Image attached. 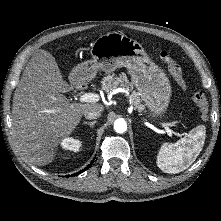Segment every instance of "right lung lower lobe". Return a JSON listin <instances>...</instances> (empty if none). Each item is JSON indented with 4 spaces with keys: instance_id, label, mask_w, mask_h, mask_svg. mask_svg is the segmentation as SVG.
I'll use <instances>...</instances> for the list:
<instances>
[{
    "instance_id": "right-lung-lower-lobe-1",
    "label": "right lung lower lobe",
    "mask_w": 221,
    "mask_h": 221,
    "mask_svg": "<svg viewBox=\"0 0 221 221\" xmlns=\"http://www.w3.org/2000/svg\"><path fill=\"white\" fill-rule=\"evenodd\" d=\"M93 162H94V161H92L85 169H83V170H81V171H79L78 173H75V174H73V175H69V176H77L78 174L84 172V171L87 170L89 167H91V165H92ZM67 177H68V176H67Z\"/></svg>"
}]
</instances>
